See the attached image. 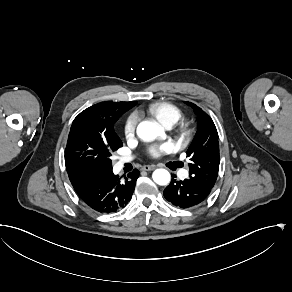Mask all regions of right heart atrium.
<instances>
[{"mask_svg":"<svg viewBox=\"0 0 292 292\" xmlns=\"http://www.w3.org/2000/svg\"><path fill=\"white\" fill-rule=\"evenodd\" d=\"M137 124L138 116L135 113H130L124 118L122 123V134L127 142L134 140Z\"/></svg>","mask_w":292,"mask_h":292,"instance_id":"obj_1","label":"right heart atrium"}]
</instances>
